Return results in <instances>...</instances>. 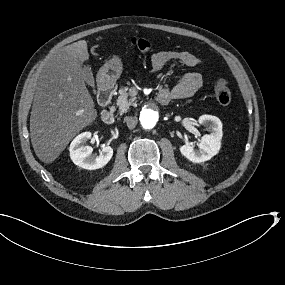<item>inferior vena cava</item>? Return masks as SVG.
Segmentation results:
<instances>
[{"mask_svg": "<svg viewBox=\"0 0 285 285\" xmlns=\"http://www.w3.org/2000/svg\"><path fill=\"white\" fill-rule=\"evenodd\" d=\"M124 121L126 122L129 129H134L137 125L138 119L137 117L126 116L124 118Z\"/></svg>", "mask_w": 285, "mask_h": 285, "instance_id": "inferior-vena-cava-1", "label": "inferior vena cava"}]
</instances>
